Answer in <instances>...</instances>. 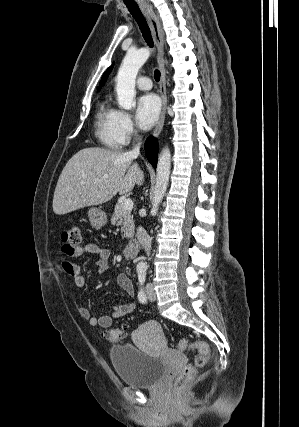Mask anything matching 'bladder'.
<instances>
[{"label": "bladder", "mask_w": 299, "mask_h": 427, "mask_svg": "<svg viewBox=\"0 0 299 427\" xmlns=\"http://www.w3.org/2000/svg\"><path fill=\"white\" fill-rule=\"evenodd\" d=\"M109 355L119 379L134 387H154L166 373L162 358L148 355L131 343L112 346Z\"/></svg>", "instance_id": "31cf9c89"}]
</instances>
